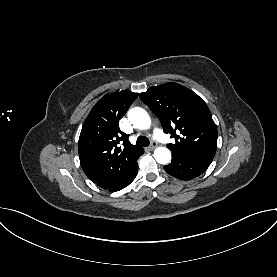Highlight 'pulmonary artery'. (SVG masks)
<instances>
[{
	"mask_svg": "<svg viewBox=\"0 0 277 277\" xmlns=\"http://www.w3.org/2000/svg\"><path fill=\"white\" fill-rule=\"evenodd\" d=\"M153 133H154L155 137H156L158 140H160V141H162V142H164V141L167 140V137L164 135V133H163L159 128L154 127Z\"/></svg>",
	"mask_w": 277,
	"mask_h": 277,
	"instance_id": "1",
	"label": "pulmonary artery"
}]
</instances>
